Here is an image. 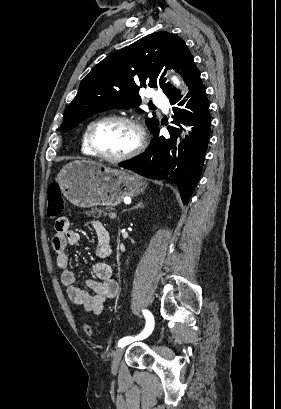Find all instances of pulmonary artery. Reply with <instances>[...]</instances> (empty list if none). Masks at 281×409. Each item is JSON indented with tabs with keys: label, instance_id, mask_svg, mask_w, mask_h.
Masks as SVG:
<instances>
[{
	"label": "pulmonary artery",
	"instance_id": "1",
	"mask_svg": "<svg viewBox=\"0 0 281 409\" xmlns=\"http://www.w3.org/2000/svg\"><path fill=\"white\" fill-rule=\"evenodd\" d=\"M154 100L156 103H167L168 96L167 94H156ZM162 107L164 110L168 109V106L166 104L162 105Z\"/></svg>",
	"mask_w": 281,
	"mask_h": 409
}]
</instances>
